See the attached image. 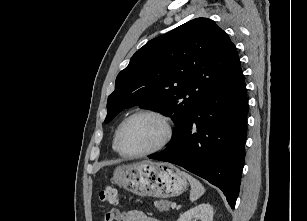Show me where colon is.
Here are the masks:
<instances>
[{"label": "colon", "instance_id": "colon-1", "mask_svg": "<svg viewBox=\"0 0 307 221\" xmlns=\"http://www.w3.org/2000/svg\"><path fill=\"white\" fill-rule=\"evenodd\" d=\"M119 190L113 186H107L99 193V199L101 202L116 205L119 202Z\"/></svg>", "mask_w": 307, "mask_h": 221}]
</instances>
